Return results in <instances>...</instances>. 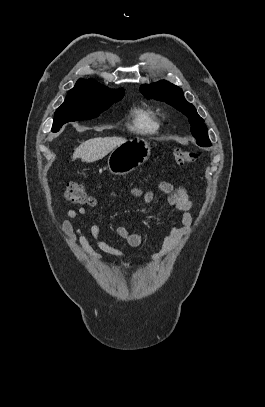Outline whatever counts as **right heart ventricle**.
<instances>
[{"label": "right heart ventricle", "instance_id": "e07e8e85", "mask_svg": "<svg viewBox=\"0 0 265 407\" xmlns=\"http://www.w3.org/2000/svg\"><path fill=\"white\" fill-rule=\"evenodd\" d=\"M129 127L137 134L150 135L159 130L160 124L153 110L147 107H135L131 113Z\"/></svg>", "mask_w": 265, "mask_h": 407}]
</instances>
